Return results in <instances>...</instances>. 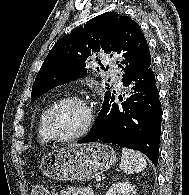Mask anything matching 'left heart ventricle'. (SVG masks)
<instances>
[{
    "instance_id": "b2bd125f",
    "label": "left heart ventricle",
    "mask_w": 189,
    "mask_h": 195,
    "mask_svg": "<svg viewBox=\"0 0 189 195\" xmlns=\"http://www.w3.org/2000/svg\"><path fill=\"white\" fill-rule=\"evenodd\" d=\"M87 110L79 104H67L60 108L53 119L55 131L62 136L78 133L87 122Z\"/></svg>"
}]
</instances>
